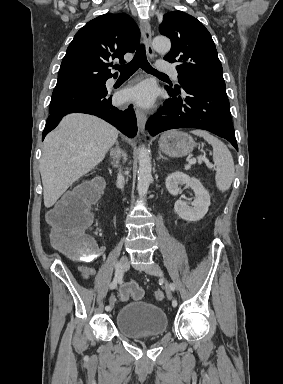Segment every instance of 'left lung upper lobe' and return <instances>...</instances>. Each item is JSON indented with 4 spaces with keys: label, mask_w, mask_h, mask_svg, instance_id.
<instances>
[{
    "label": "left lung upper lobe",
    "mask_w": 283,
    "mask_h": 384,
    "mask_svg": "<svg viewBox=\"0 0 283 384\" xmlns=\"http://www.w3.org/2000/svg\"><path fill=\"white\" fill-rule=\"evenodd\" d=\"M159 30L171 40V50L164 59L178 63L179 81L225 87L215 44L200 21L185 12L172 11L164 15Z\"/></svg>",
    "instance_id": "5c2ea615"
}]
</instances>
